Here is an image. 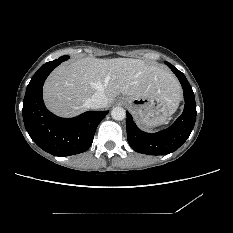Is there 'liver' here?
<instances>
[{"label": "liver", "mask_w": 233, "mask_h": 233, "mask_svg": "<svg viewBox=\"0 0 233 233\" xmlns=\"http://www.w3.org/2000/svg\"><path fill=\"white\" fill-rule=\"evenodd\" d=\"M102 92L107 105L119 94L160 97L177 107L181 87L175 76L158 65L131 58L97 59L86 57L57 67L43 88L46 107L61 117H74L88 107L86 100Z\"/></svg>", "instance_id": "6515ba94"}]
</instances>
